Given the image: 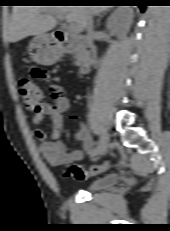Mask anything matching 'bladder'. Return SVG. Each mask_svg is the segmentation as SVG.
<instances>
[{
	"instance_id": "obj_1",
	"label": "bladder",
	"mask_w": 170,
	"mask_h": 231,
	"mask_svg": "<svg viewBox=\"0 0 170 231\" xmlns=\"http://www.w3.org/2000/svg\"><path fill=\"white\" fill-rule=\"evenodd\" d=\"M123 180V176L120 173L107 174L101 178H98L87 185V190L91 192H97L114 187Z\"/></svg>"
}]
</instances>
